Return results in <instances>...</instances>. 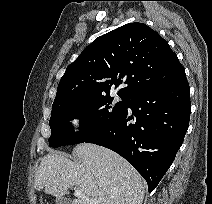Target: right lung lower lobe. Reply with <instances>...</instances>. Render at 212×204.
I'll return each instance as SVG.
<instances>
[{
  "label": "right lung lower lobe",
  "instance_id": "obj_1",
  "mask_svg": "<svg viewBox=\"0 0 212 204\" xmlns=\"http://www.w3.org/2000/svg\"><path fill=\"white\" fill-rule=\"evenodd\" d=\"M189 95L185 72L161 86L137 91L127 97L124 111L114 122L84 142L124 157L144 177L151 192L183 142L191 112Z\"/></svg>",
  "mask_w": 212,
  "mask_h": 204
}]
</instances>
